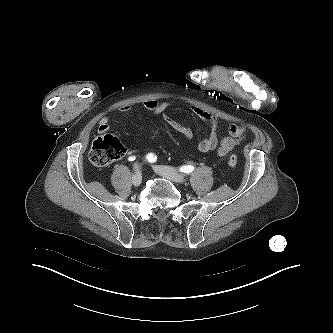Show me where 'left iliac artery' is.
<instances>
[{
    "label": "left iliac artery",
    "instance_id": "obj_1",
    "mask_svg": "<svg viewBox=\"0 0 333 333\" xmlns=\"http://www.w3.org/2000/svg\"><path fill=\"white\" fill-rule=\"evenodd\" d=\"M194 170L193 165H184L180 168V171L183 173H191Z\"/></svg>",
    "mask_w": 333,
    "mask_h": 333
}]
</instances>
